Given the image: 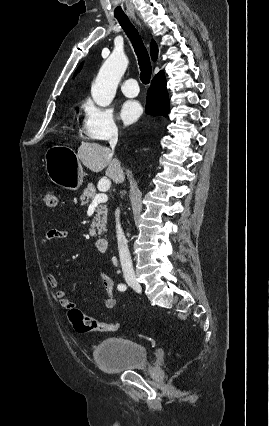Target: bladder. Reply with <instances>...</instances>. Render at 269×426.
<instances>
[{"label": "bladder", "mask_w": 269, "mask_h": 426, "mask_svg": "<svg viewBox=\"0 0 269 426\" xmlns=\"http://www.w3.org/2000/svg\"><path fill=\"white\" fill-rule=\"evenodd\" d=\"M95 363L106 373L117 374L148 366L145 347L133 340L113 337L102 340L95 348Z\"/></svg>", "instance_id": "31cf9c89"}]
</instances>
